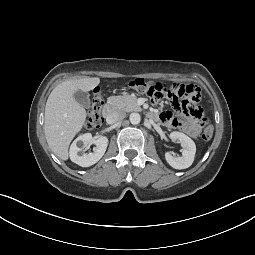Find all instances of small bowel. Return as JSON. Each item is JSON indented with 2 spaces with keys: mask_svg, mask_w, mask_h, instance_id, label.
Returning a JSON list of instances; mask_svg holds the SVG:
<instances>
[{
  "mask_svg": "<svg viewBox=\"0 0 255 255\" xmlns=\"http://www.w3.org/2000/svg\"><path fill=\"white\" fill-rule=\"evenodd\" d=\"M163 125L169 128H176L191 136H197L200 133V126L192 121L178 119L170 111L152 114Z\"/></svg>",
  "mask_w": 255,
  "mask_h": 255,
  "instance_id": "1",
  "label": "small bowel"
}]
</instances>
